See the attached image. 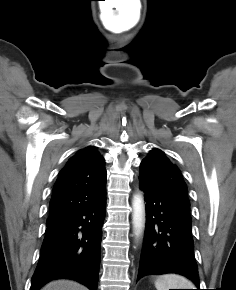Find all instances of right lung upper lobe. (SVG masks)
<instances>
[{
	"label": "right lung upper lobe",
	"mask_w": 236,
	"mask_h": 290,
	"mask_svg": "<svg viewBox=\"0 0 236 290\" xmlns=\"http://www.w3.org/2000/svg\"><path fill=\"white\" fill-rule=\"evenodd\" d=\"M104 164V158L92 146L69 159L54 185L47 225L104 197L107 177Z\"/></svg>",
	"instance_id": "1"
}]
</instances>
